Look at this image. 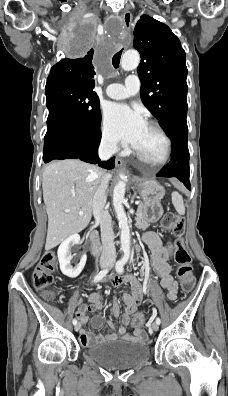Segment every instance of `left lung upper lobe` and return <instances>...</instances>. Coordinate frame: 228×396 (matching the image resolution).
I'll return each instance as SVG.
<instances>
[{"label":"left lung upper lobe","instance_id":"left-lung-upper-lobe-1","mask_svg":"<svg viewBox=\"0 0 228 396\" xmlns=\"http://www.w3.org/2000/svg\"><path fill=\"white\" fill-rule=\"evenodd\" d=\"M133 45L141 55L137 71L142 102L163 128L188 108L185 51L167 25L147 15L136 24Z\"/></svg>","mask_w":228,"mask_h":396}]
</instances>
